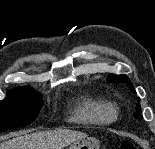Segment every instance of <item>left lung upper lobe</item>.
<instances>
[{
  "mask_svg": "<svg viewBox=\"0 0 155 149\" xmlns=\"http://www.w3.org/2000/svg\"><path fill=\"white\" fill-rule=\"evenodd\" d=\"M109 82L112 83H127V85L129 86V89L135 93V89L132 85V83L130 82L129 78L126 75H115V74H111L109 75L108 79ZM139 101V100H138ZM141 108H140V104L136 105V113L134 114V117L136 119L141 120L143 117L141 115Z\"/></svg>",
  "mask_w": 155,
  "mask_h": 149,
  "instance_id": "obj_1",
  "label": "left lung upper lobe"
}]
</instances>
